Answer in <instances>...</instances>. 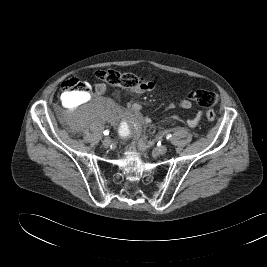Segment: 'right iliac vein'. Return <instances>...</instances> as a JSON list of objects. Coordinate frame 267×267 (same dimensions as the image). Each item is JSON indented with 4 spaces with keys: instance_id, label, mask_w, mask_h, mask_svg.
Masks as SVG:
<instances>
[{
    "instance_id": "63e3f726",
    "label": "right iliac vein",
    "mask_w": 267,
    "mask_h": 267,
    "mask_svg": "<svg viewBox=\"0 0 267 267\" xmlns=\"http://www.w3.org/2000/svg\"><path fill=\"white\" fill-rule=\"evenodd\" d=\"M102 143L105 148H108L111 144V139L109 137H106Z\"/></svg>"
}]
</instances>
